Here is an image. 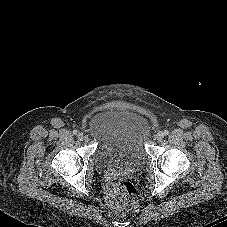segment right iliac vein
Instances as JSON below:
<instances>
[{
  "mask_svg": "<svg viewBox=\"0 0 227 227\" xmlns=\"http://www.w3.org/2000/svg\"><path fill=\"white\" fill-rule=\"evenodd\" d=\"M77 137H78L79 140H83L84 139V134L82 132H79L77 134Z\"/></svg>",
  "mask_w": 227,
  "mask_h": 227,
  "instance_id": "1",
  "label": "right iliac vein"
}]
</instances>
